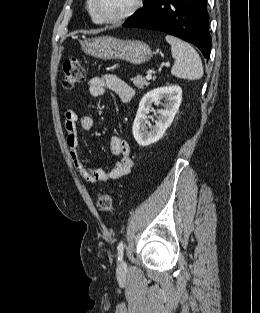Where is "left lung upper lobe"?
Segmentation results:
<instances>
[{
    "label": "left lung upper lobe",
    "mask_w": 260,
    "mask_h": 313,
    "mask_svg": "<svg viewBox=\"0 0 260 313\" xmlns=\"http://www.w3.org/2000/svg\"><path fill=\"white\" fill-rule=\"evenodd\" d=\"M149 1H150V0H144V5H146ZM135 15H136V13L133 14L132 16H130V17H129V20H131L132 18H134Z\"/></svg>",
    "instance_id": "obj_1"
}]
</instances>
